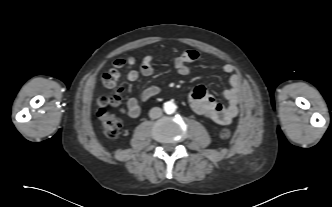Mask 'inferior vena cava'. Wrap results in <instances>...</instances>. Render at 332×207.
Returning <instances> with one entry per match:
<instances>
[{"mask_svg":"<svg viewBox=\"0 0 332 207\" xmlns=\"http://www.w3.org/2000/svg\"><path fill=\"white\" fill-rule=\"evenodd\" d=\"M149 116L152 119H156L162 116V109L159 107H154L150 110Z\"/></svg>","mask_w":332,"mask_h":207,"instance_id":"1","label":"inferior vena cava"}]
</instances>
